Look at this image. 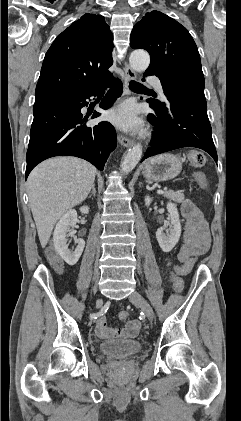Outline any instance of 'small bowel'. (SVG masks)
Instances as JSON below:
<instances>
[{"label": "small bowel", "instance_id": "c3829d8e", "mask_svg": "<svg viewBox=\"0 0 241 421\" xmlns=\"http://www.w3.org/2000/svg\"><path fill=\"white\" fill-rule=\"evenodd\" d=\"M181 211L185 218L183 244L178 252V259L186 261L205 254L210 247V233L207 223L202 218L200 210L189 199L183 201ZM140 330V322L131 320L122 328L107 325L106 316L98 318L95 326L96 334L102 339H132Z\"/></svg>", "mask_w": 241, "mask_h": 421}]
</instances>
